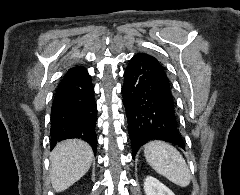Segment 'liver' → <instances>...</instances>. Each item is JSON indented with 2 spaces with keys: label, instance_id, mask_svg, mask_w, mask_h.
Instances as JSON below:
<instances>
[{
  "label": "liver",
  "instance_id": "obj_1",
  "mask_svg": "<svg viewBox=\"0 0 240 195\" xmlns=\"http://www.w3.org/2000/svg\"><path fill=\"white\" fill-rule=\"evenodd\" d=\"M92 147L82 139H66L50 153L51 183L55 191H64L88 171L93 159Z\"/></svg>",
  "mask_w": 240,
  "mask_h": 195
}]
</instances>
